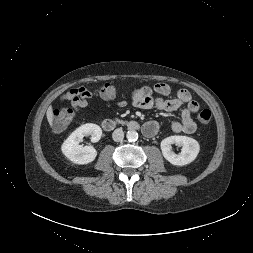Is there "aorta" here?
<instances>
[{
	"instance_id": "aorta-1",
	"label": "aorta",
	"mask_w": 253,
	"mask_h": 253,
	"mask_svg": "<svg viewBox=\"0 0 253 253\" xmlns=\"http://www.w3.org/2000/svg\"><path fill=\"white\" fill-rule=\"evenodd\" d=\"M126 138L130 142H135L138 139V133L135 130H129L126 134Z\"/></svg>"
}]
</instances>
